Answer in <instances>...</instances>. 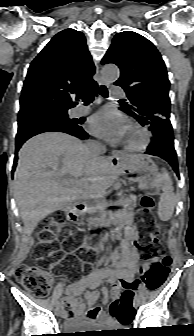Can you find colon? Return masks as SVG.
<instances>
[{"instance_id": "1", "label": "colon", "mask_w": 194, "mask_h": 336, "mask_svg": "<svg viewBox=\"0 0 194 336\" xmlns=\"http://www.w3.org/2000/svg\"><path fill=\"white\" fill-rule=\"evenodd\" d=\"M153 209V199L144 196L142 198V209L138 216V223L142 232L137 239V246L144 257L139 274L145 286L150 290L158 289L163 284L171 265V258L164 253L159 240L161 228L152 217ZM64 222V214L55 212L39 223L36 232L39 256L50 258L56 266L61 265L64 256L62 244H65L69 251L74 248L69 243L68 228L64 225ZM147 261L150 264H147ZM16 278L34 296L45 297L50 291L52 276L44 266L21 265L16 270ZM127 284L129 283L115 285L113 292L124 299L131 297L132 290L127 287ZM66 308L68 312H71L69 304L66 305Z\"/></svg>"}]
</instances>
